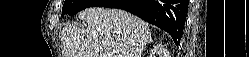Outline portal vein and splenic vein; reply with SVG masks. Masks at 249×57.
<instances>
[{
	"instance_id": "portal-vein-and-splenic-vein-1",
	"label": "portal vein and splenic vein",
	"mask_w": 249,
	"mask_h": 57,
	"mask_svg": "<svg viewBox=\"0 0 249 57\" xmlns=\"http://www.w3.org/2000/svg\"><path fill=\"white\" fill-rule=\"evenodd\" d=\"M104 57H111L112 55L111 54H108V55H103Z\"/></svg>"
}]
</instances>
